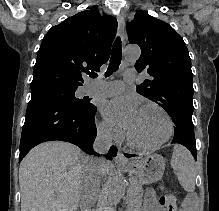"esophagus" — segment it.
<instances>
[{
  "instance_id": "esophagus-1",
  "label": "esophagus",
  "mask_w": 219,
  "mask_h": 211,
  "mask_svg": "<svg viewBox=\"0 0 219 211\" xmlns=\"http://www.w3.org/2000/svg\"><path fill=\"white\" fill-rule=\"evenodd\" d=\"M117 22H118L119 33L124 43V18L122 15L117 16ZM115 162L116 164H122V163H127V160L125 156L119 151L115 158Z\"/></svg>"
}]
</instances>
